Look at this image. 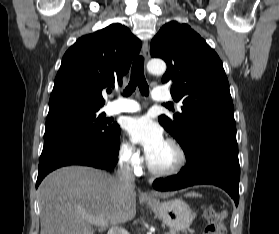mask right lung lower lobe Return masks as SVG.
I'll return each mask as SVG.
<instances>
[{
  "mask_svg": "<svg viewBox=\"0 0 279 234\" xmlns=\"http://www.w3.org/2000/svg\"><path fill=\"white\" fill-rule=\"evenodd\" d=\"M119 132L107 146L80 134H67L44 141L39 159L36 188L51 171L68 165H86L100 169L114 167L119 152Z\"/></svg>",
  "mask_w": 279,
  "mask_h": 234,
  "instance_id": "98d812e1",
  "label": "right lung lower lobe"
}]
</instances>
